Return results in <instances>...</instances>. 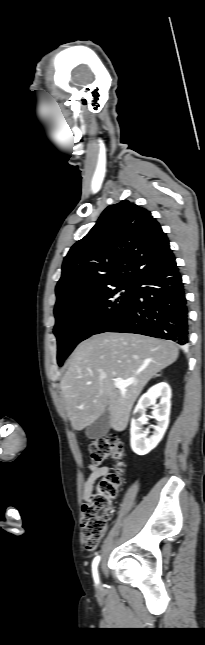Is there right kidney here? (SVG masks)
<instances>
[{
    "label": "right kidney",
    "instance_id": "obj_1",
    "mask_svg": "<svg viewBox=\"0 0 205 645\" xmlns=\"http://www.w3.org/2000/svg\"><path fill=\"white\" fill-rule=\"evenodd\" d=\"M158 398L160 402L156 404ZM170 399L171 388L165 382L154 385L139 399L133 411L134 417L131 420L130 429V444L134 453L146 455L161 441L169 424ZM150 406H154L152 415L157 421L156 425H151L153 429L151 435L148 430H143V425L147 424L145 411Z\"/></svg>",
    "mask_w": 205,
    "mask_h": 645
}]
</instances>
